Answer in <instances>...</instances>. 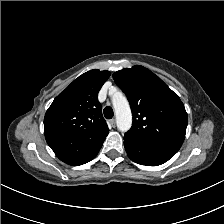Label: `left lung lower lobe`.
I'll list each match as a JSON object with an SVG mask.
<instances>
[{"label": "left lung lower lobe", "mask_w": 224, "mask_h": 224, "mask_svg": "<svg viewBox=\"0 0 224 224\" xmlns=\"http://www.w3.org/2000/svg\"><path fill=\"white\" fill-rule=\"evenodd\" d=\"M124 146L131 160L147 166L161 165L172 158L177 152V150L138 140L126 134L124 136Z\"/></svg>", "instance_id": "0a47b994"}]
</instances>
